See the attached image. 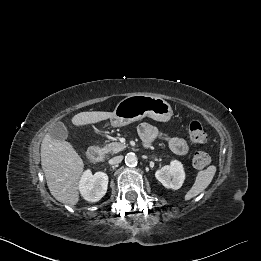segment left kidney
<instances>
[{
  "instance_id": "5707ae66",
  "label": "left kidney",
  "mask_w": 261,
  "mask_h": 261,
  "mask_svg": "<svg viewBox=\"0 0 261 261\" xmlns=\"http://www.w3.org/2000/svg\"><path fill=\"white\" fill-rule=\"evenodd\" d=\"M155 177L164 187L177 190L184 182L185 172L182 164L177 160H173L170 165H166L160 170H157Z\"/></svg>"
}]
</instances>
